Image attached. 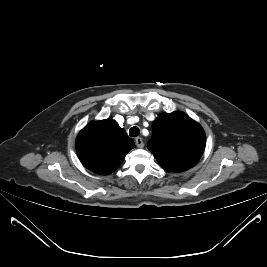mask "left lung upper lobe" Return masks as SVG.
<instances>
[{"instance_id": "obj_1", "label": "left lung upper lobe", "mask_w": 267, "mask_h": 267, "mask_svg": "<svg viewBox=\"0 0 267 267\" xmlns=\"http://www.w3.org/2000/svg\"><path fill=\"white\" fill-rule=\"evenodd\" d=\"M147 144L158 163L167 171L182 172L201 158L206 144L202 127L183 112L164 113L152 124Z\"/></svg>"}]
</instances>
